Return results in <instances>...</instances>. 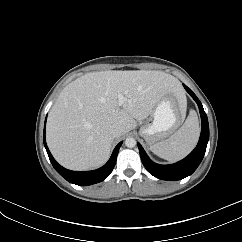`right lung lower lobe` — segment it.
Masks as SVG:
<instances>
[{"label": "right lung lower lobe", "mask_w": 242, "mask_h": 242, "mask_svg": "<svg viewBox=\"0 0 242 242\" xmlns=\"http://www.w3.org/2000/svg\"><path fill=\"white\" fill-rule=\"evenodd\" d=\"M43 141H44V146L48 153L49 159H50L53 167L55 168V170L70 183L80 185V186L92 185V184L105 180L109 176V174L112 172V170L115 166L117 154H118L119 148L121 147V144H122V142H120L115 147L109 161L103 167H101L97 170H93V171L76 172V171H71V170H67V169L63 168L61 165H59L55 161V159L51 155V153L47 147V144H46L45 129H44Z\"/></svg>", "instance_id": "right-lung-lower-lobe-1"}]
</instances>
